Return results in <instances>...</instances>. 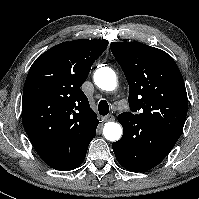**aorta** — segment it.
<instances>
[{
	"mask_svg": "<svg viewBox=\"0 0 199 199\" xmlns=\"http://www.w3.org/2000/svg\"><path fill=\"white\" fill-rule=\"evenodd\" d=\"M95 84L105 91H113L117 86L115 72L109 67H101L94 74ZM122 127L115 122H108L103 128V135L109 141H117L122 136Z\"/></svg>",
	"mask_w": 199,
	"mask_h": 199,
	"instance_id": "aorta-1",
	"label": "aorta"
}]
</instances>
